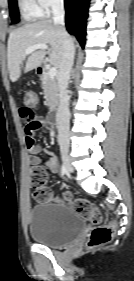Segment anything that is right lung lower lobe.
Wrapping results in <instances>:
<instances>
[{
    "label": "right lung lower lobe",
    "mask_w": 134,
    "mask_h": 281,
    "mask_svg": "<svg viewBox=\"0 0 134 281\" xmlns=\"http://www.w3.org/2000/svg\"><path fill=\"white\" fill-rule=\"evenodd\" d=\"M66 9V27L70 34L77 37L84 47L86 35V19L90 0H64Z\"/></svg>",
    "instance_id": "right-lung-lower-lobe-1"
}]
</instances>
